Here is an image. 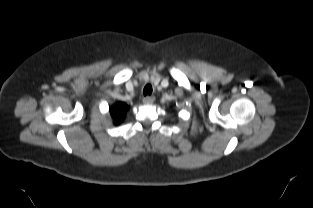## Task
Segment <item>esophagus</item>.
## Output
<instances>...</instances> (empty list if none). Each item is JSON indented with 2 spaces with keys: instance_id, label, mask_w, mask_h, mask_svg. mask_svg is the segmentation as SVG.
Returning a JSON list of instances; mask_svg holds the SVG:
<instances>
[{
  "instance_id": "1",
  "label": "esophagus",
  "mask_w": 313,
  "mask_h": 208,
  "mask_svg": "<svg viewBox=\"0 0 313 208\" xmlns=\"http://www.w3.org/2000/svg\"><path fill=\"white\" fill-rule=\"evenodd\" d=\"M155 101L154 96H146L143 98V103L144 104H152Z\"/></svg>"
}]
</instances>
